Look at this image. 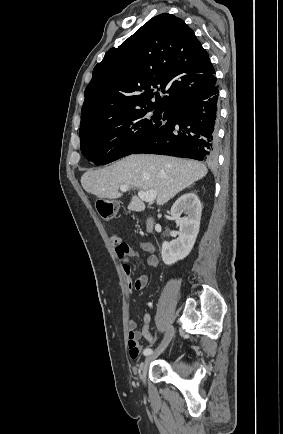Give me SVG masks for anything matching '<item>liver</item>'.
Wrapping results in <instances>:
<instances>
[{
    "label": "liver",
    "mask_w": 283,
    "mask_h": 434,
    "mask_svg": "<svg viewBox=\"0 0 283 434\" xmlns=\"http://www.w3.org/2000/svg\"><path fill=\"white\" fill-rule=\"evenodd\" d=\"M200 162L150 154H132L99 170H88L81 177L83 189L98 198L117 199L121 185L142 191L154 190L156 202L164 205L176 194L206 176ZM128 209L141 212L144 202L132 196Z\"/></svg>",
    "instance_id": "6515ba94"
}]
</instances>
